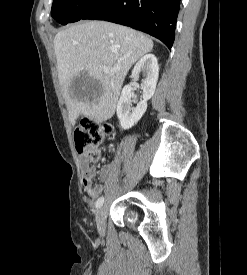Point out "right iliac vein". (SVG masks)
Returning a JSON list of instances; mask_svg holds the SVG:
<instances>
[{
	"instance_id": "obj_1",
	"label": "right iliac vein",
	"mask_w": 247,
	"mask_h": 275,
	"mask_svg": "<svg viewBox=\"0 0 247 275\" xmlns=\"http://www.w3.org/2000/svg\"><path fill=\"white\" fill-rule=\"evenodd\" d=\"M107 209L106 206L99 208L96 214L97 230L100 235H104L106 228Z\"/></svg>"
}]
</instances>
